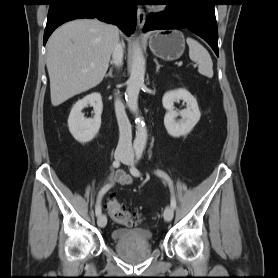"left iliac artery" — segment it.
<instances>
[{
  "instance_id": "obj_1",
  "label": "left iliac artery",
  "mask_w": 278,
  "mask_h": 278,
  "mask_svg": "<svg viewBox=\"0 0 278 278\" xmlns=\"http://www.w3.org/2000/svg\"><path fill=\"white\" fill-rule=\"evenodd\" d=\"M142 154H143V150H142V149H138V150L136 151V159H135V162H136V163L141 159ZM130 171H131V174H132L133 176H136V177L140 176V172H139V170H138L135 166H133V167L131 168ZM155 173H156L158 176L163 177V178L167 181V183H168V185H169V188H170V191H171V207H172L173 209H175V208H176V198H175V194H174V187H173V182H172V180H171L170 177H169L165 172H163V171L157 170Z\"/></svg>"
}]
</instances>
